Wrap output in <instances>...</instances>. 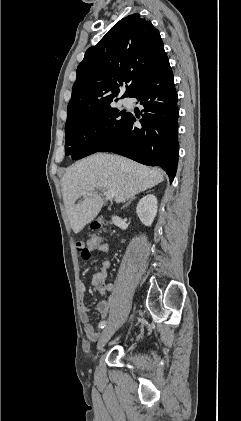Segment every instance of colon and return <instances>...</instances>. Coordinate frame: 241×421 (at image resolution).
I'll return each mask as SVG.
<instances>
[{
    "instance_id": "colon-1",
    "label": "colon",
    "mask_w": 241,
    "mask_h": 421,
    "mask_svg": "<svg viewBox=\"0 0 241 421\" xmlns=\"http://www.w3.org/2000/svg\"><path fill=\"white\" fill-rule=\"evenodd\" d=\"M101 228L100 224L94 225L95 230H99ZM100 244V239L98 237H92L87 242H78L76 244V248L80 253L81 257L84 260H88L91 257L92 249L96 248Z\"/></svg>"
}]
</instances>
